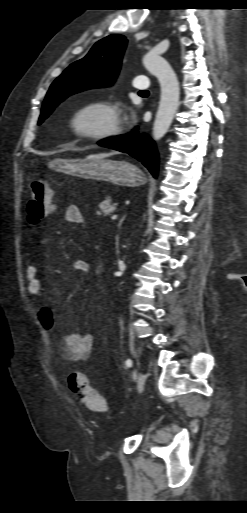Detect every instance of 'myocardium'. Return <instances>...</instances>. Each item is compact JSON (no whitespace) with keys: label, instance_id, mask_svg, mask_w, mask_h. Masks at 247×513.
I'll return each instance as SVG.
<instances>
[{"label":"myocardium","instance_id":"myocardium-1","mask_svg":"<svg viewBox=\"0 0 247 513\" xmlns=\"http://www.w3.org/2000/svg\"><path fill=\"white\" fill-rule=\"evenodd\" d=\"M92 112H101L107 118V123L99 127H85L82 118ZM67 128L72 135L82 139L105 140L118 135L122 124L116 105L102 99L85 100L75 105L67 114Z\"/></svg>","mask_w":247,"mask_h":513}]
</instances>
